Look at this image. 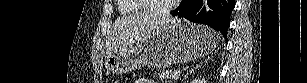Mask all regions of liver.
Returning <instances> with one entry per match:
<instances>
[{
  "label": "liver",
  "instance_id": "obj_1",
  "mask_svg": "<svg viewBox=\"0 0 307 83\" xmlns=\"http://www.w3.org/2000/svg\"><path fill=\"white\" fill-rule=\"evenodd\" d=\"M177 18L159 16L149 13H138L118 20L112 29L106 46V54L122 50L140 42L151 34L159 32L166 26L180 23Z\"/></svg>",
  "mask_w": 307,
  "mask_h": 83
}]
</instances>
